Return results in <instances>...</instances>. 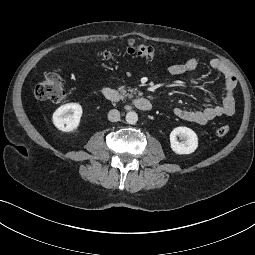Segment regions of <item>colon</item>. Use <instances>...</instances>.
I'll use <instances>...</instances> for the list:
<instances>
[{
    "label": "colon",
    "instance_id": "1",
    "mask_svg": "<svg viewBox=\"0 0 255 255\" xmlns=\"http://www.w3.org/2000/svg\"><path fill=\"white\" fill-rule=\"evenodd\" d=\"M128 53H136L148 59L156 55L155 49L150 45L139 44L133 40H129L126 46ZM114 54L112 50H104L100 53V57L109 58ZM35 96L40 100H47L54 103L63 102L66 98V92L62 86V80L57 72H49L35 86ZM229 132V127L226 125L220 126L217 129L219 136H224Z\"/></svg>",
    "mask_w": 255,
    "mask_h": 255
}]
</instances>
